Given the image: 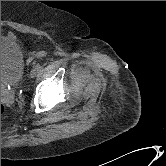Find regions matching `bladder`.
I'll use <instances>...</instances> for the list:
<instances>
[{
    "label": "bladder",
    "instance_id": "31cf9c89",
    "mask_svg": "<svg viewBox=\"0 0 166 166\" xmlns=\"http://www.w3.org/2000/svg\"><path fill=\"white\" fill-rule=\"evenodd\" d=\"M24 55L20 45L1 35V85L16 84L24 73Z\"/></svg>",
    "mask_w": 166,
    "mask_h": 166
}]
</instances>
